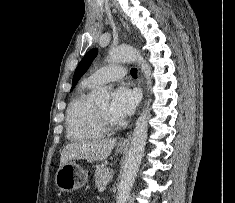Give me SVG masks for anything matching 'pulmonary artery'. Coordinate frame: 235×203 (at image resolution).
Segmentation results:
<instances>
[{"instance_id":"obj_1","label":"pulmonary artery","mask_w":235,"mask_h":203,"mask_svg":"<svg viewBox=\"0 0 235 203\" xmlns=\"http://www.w3.org/2000/svg\"><path fill=\"white\" fill-rule=\"evenodd\" d=\"M127 73L125 67L119 64H111L102 67L91 74L86 81L93 86H101L107 82L122 78Z\"/></svg>"}]
</instances>
